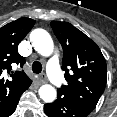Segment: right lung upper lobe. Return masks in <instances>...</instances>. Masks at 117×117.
Wrapping results in <instances>:
<instances>
[{"label": "right lung upper lobe", "mask_w": 117, "mask_h": 117, "mask_svg": "<svg viewBox=\"0 0 117 117\" xmlns=\"http://www.w3.org/2000/svg\"><path fill=\"white\" fill-rule=\"evenodd\" d=\"M35 24L30 18H19L0 28V115L16 102L28 89L31 79L20 71L13 72L12 65L25 63L24 57L18 53V45ZM10 74L4 79L3 73Z\"/></svg>", "instance_id": "obj_1"}]
</instances>
